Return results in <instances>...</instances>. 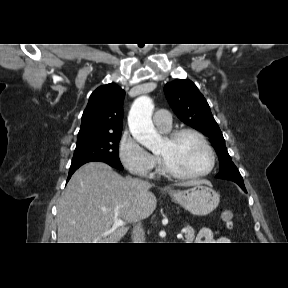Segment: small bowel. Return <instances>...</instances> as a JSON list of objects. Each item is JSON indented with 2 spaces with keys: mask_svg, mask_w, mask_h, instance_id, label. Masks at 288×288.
Segmentation results:
<instances>
[{
  "mask_svg": "<svg viewBox=\"0 0 288 288\" xmlns=\"http://www.w3.org/2000/svg\"><path fill=\"white\" fill-rule=\"evenodd\" d=\"M197 242L198 243H229L230 240L224 236L214 238V235L211 229L203 228L199 231Z\"/></svg>",
  "mask_w": 288,
  "mask_h": 288,
  "instance_id": "1",
  "label": "small bowel"
}]
</instances>
